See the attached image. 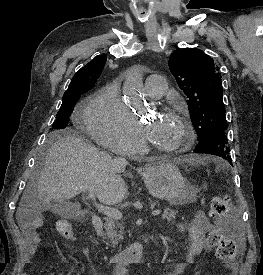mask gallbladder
I'll list each match as a JSON object with an SVG mask.
<instances>
[{
    "mask_svg": "<svg viewBox=\"0 0 263 275\" xmlns=\"http://www.w3.org/2000/svg\"><path fill=\"white\" fill-rule=\"evenodd\" d=\"M47 208L62 218L71 219L78 216V209L73 204L63 200H52Z\"/></svg>",
    "mask_w": 263,
    "mask_h": 275,
    "instance_id": "gallbladder-1",
    "label": "gallbladder"
}]
</instances>
